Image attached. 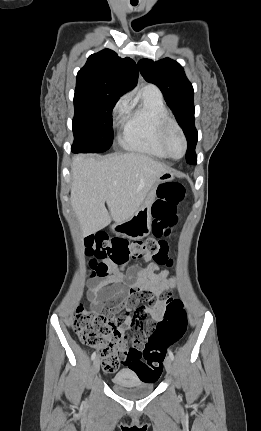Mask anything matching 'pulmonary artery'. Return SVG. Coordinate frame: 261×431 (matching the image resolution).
Returning <instances> with one entry per match:
<instances>
[{
  "label": "pulmonary artery",
  "instance_id": "pulmonary-artery-1",
  "mask_svg": "<svg viewBox=\"0 0 261 431\" xmlns=\"http://www.w3.org/2000/svg\"><path fill=\"white\" fill-rule=\"evenodd\" d=\"M145 88H147V89H149V90H151L153 92H156V93L160 94L159 89L155 85H153V84H148V85H146Z\"/></svg>",
  "mask_w": 261,
  "mask_h": 431
}]
</instances>
